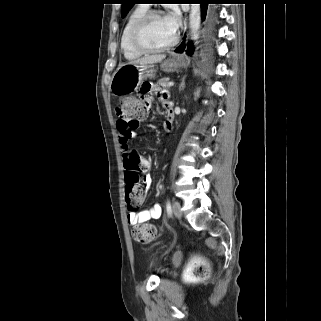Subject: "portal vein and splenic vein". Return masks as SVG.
Masks as SVG:
<instances>
[{"label":"portal vein and splenic vein","instance_id":"1","mask_svg":"<svg viewBox=\"0 0 321 321\" xmlns=\"http://www.w3.org/2000/svg\"><path fill=\"white\" fill-rule=\"evenodd\" d=\"M173 85H174V82H169V83H168V86H169V87H172Z\"/></svg>","mask_w":321,"mask_h":321}]
</instances>
